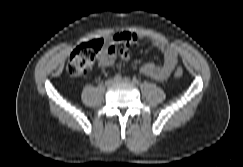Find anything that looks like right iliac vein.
<instances>
[{"mask_svg":"<svg viewBox=\"0 0 243 167\" xmlns=\"http://www.w3.org/2000/svg\"><path fill=\"white\" fill-rule=\"evenodd\" d=\"M115 82H116V80H114V79H108V80L105 82V85H106L107 87H110V86H112Z\"/></svg>","mask_w":243,"mask_h":167,"instance_id":"right-iliac-vein-1","label":"right iliac vein"}]
</instances>
